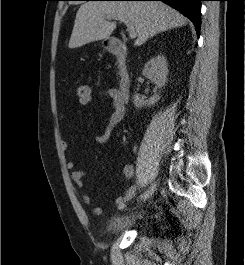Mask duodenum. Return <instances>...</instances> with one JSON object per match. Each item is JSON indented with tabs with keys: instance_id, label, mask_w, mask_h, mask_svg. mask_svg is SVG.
Here are the masks:
<instances>
[{
	"instance_id": "duodenum-1",
	"label": "duodenum",
	"mask_w": 245,
	"mask_h": 265,
	"mask_svg": "<svg viewBox=\"0 0 245 265\" xmlns=\"http://www.w3.org/2000/svg\"><path fill=\"white\" fill-rule=\"evenodd\" d=\"M108 51L117 58L119 65L118 90L125 100L129 98L131 81L126 64V47L119 39H111L108 42Z\"/></svg>"
}]
</instances>
